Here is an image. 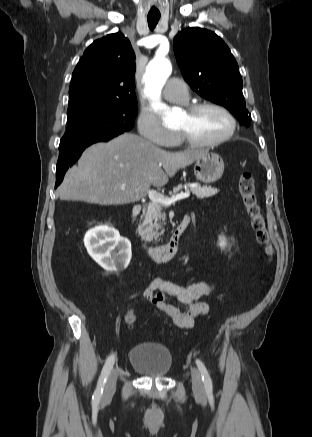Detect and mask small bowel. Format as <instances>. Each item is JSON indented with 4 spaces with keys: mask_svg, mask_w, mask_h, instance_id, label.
Here are the masks:
<instances>
[{
    "mask_svg": "<svg viewBox=\"0 0 312 437\" xmlns=\"http://www.w3.org/2000/svg\"><path fill=\"white\" fill-rule=\"evenodd\" d=\"M212 292L207 282L179 285L161 277H156L142 291L141 295L158 310L166 313L172 323L179 328H192L197 317L209 311V304L203 299Z\"/></svg>",
    "mask_w": 312,
    "mask_h": 437,
    "instance_id": "small-bowel-1",
    "label": "small bowel"
}]
</instances>
